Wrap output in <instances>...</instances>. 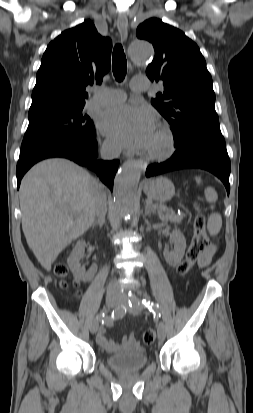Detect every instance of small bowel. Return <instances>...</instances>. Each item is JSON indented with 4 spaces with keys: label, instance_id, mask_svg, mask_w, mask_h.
Masks as SVG:
<instances>
[{
    "label": "small bowel",
    "instance_id": "1",
    "mask_svg": "<svg viewBox=\"0 0 253 413\" xmlns=\"http://www.w3.org/2000/svg\"><path fill=\"white\" fill-rule=\"evenodd\" d=\"M216 251L215 245H210V247L204 252L201 259L199 260V267L203 268L210 264L212 257ZM107 326H110V322H106ZM96 340L100 346H102L105 350L109 352H118L124 349H131L137 350L140 348V345L134 335V333H130L124 337L123 342L121 345L113 342L106 336V329L101 327L97 334Z\"/></svg>",
    "mask_w": 253,
    "mask_h": 413
}]
</instances>
